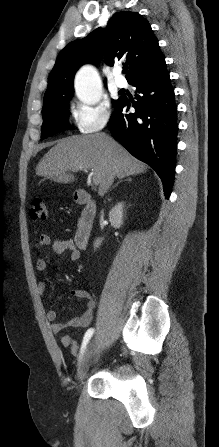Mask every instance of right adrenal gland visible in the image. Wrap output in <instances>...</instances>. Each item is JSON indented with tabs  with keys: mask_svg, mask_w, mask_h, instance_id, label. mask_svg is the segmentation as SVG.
Wrapping results in <instances>:
<instances>
[{
	"mask_svg": "<svg viewBox=\"0 0 219 447\" xmlns=\"http://www.w3.org/2000/svg\"><path fill=\"white\" fill-rule=\"evenodd\" d=\"M122 181H128V182H130V181H131V178L128 177V178L125 179V180H120V181H118V182L113 186V188H114L115 186H117L119 183H121Z\"/></svg>",
	"mask_w": 219,
	"mask_h": 447,
	"instance_id": "right-adrenal-gland-1",
	"label": "right adrenal gland"
}]
</instances>
